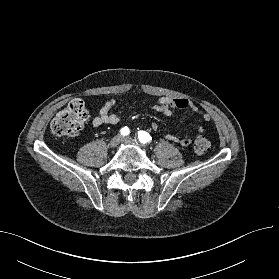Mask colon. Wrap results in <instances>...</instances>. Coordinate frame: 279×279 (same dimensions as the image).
I'll return each mask as SVG.
<instances>
[{
	"label": "colon",
	"mask_w": 279,
	"mask_h": 279,
	"mask_svg": "<svg viewBox=\"0 0 279 279\" xmlns=\"http://www.w3.org/2000/svg\"><path fill=\"white\" fill-rule=\"evenodd\" d=\"M87 117L84 102L81 99H74L53 118L51 131L56 136H75L83 128ZM209 148L210 142L204 137H198L194 142L197 153H204Z\"/></svg>",
	"instance_id": "colon-1"
}]
</instances>
